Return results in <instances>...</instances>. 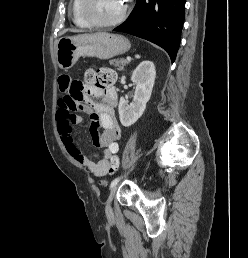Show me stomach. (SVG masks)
I'll list each match as a JSON object with an SVG mask.
<instances>
[{"instance_id":"0dacf381","label":"stomach","mask_w":248,"mask_h":258,"mask_svg":"<svg viewBox=\"0 0 248 258\" xmlns=\"http://www.w3.org/2000/svg\"><path fill=\"white\" fill-rule=\"evenodd\" d=\"M131 45L122 35L106 32L62 37L55 45L56 61L63 70L75 65L80 57L110 59L129 51Z\"/></svg>"}]
</instances>
